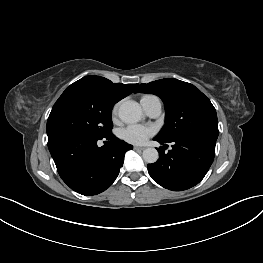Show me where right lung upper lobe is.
Wrapping results in <instances>:
<instances>
[{
	"mask_svg": "<svg viewBox=\"0 0 263 263\" xmlns=\"http://www.w3.org/2000/svg\"><path fill=\"white\" fill-rule=\"evenodd\" d=\"M138 84L112 83L110 80L100 76H86L71 84L67 89L83 87L94 91L106 99L117 103L131 94ZM136 91V90H135Z\"/></svg>",
	"mask_w": 263,
	"mask_h": 263,
	"instance_id": "obj_1",
	"label": "right lung upper lobe"
}]
</instances>
